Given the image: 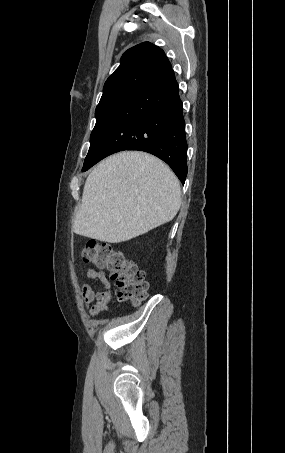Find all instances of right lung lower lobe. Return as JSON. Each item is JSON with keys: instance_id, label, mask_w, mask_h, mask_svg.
Here are the masks:
<instances>
[{"instance_id": "1", "label": "right lung lower lobe", "mask_w": 285, "mask_h": 453, "mask_svg": "<svg viewBox=\"0 0 285 453\" xmlns=\"http://www.w3.org/2000/svg\"><path fill=\"white\" fill-rule=\"evenodd\" d=\"M187 147L183 105L170 68L146 82L126 102L82 171L113 153L140 150L166 162L184 184Z\"/></svg>"}]
</instances>
